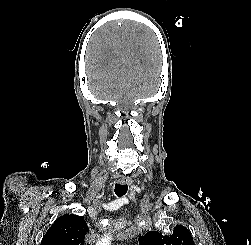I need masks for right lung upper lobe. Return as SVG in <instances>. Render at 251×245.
Segmentation results:
<instances>
[{
    "mask_svg": "<svg viewBox=\"0 0 251 245\" xmlns=\"http://www.w3.org/2000/svg\"><path fill=\"white\" fill-rule=\"evenodd\" d=\"M88 227L83 217L63 215L44 235L41 245H84Z\"/></svg>",
    "mask_w": 251,
    "mask_h": 245,
    "instance_id": "cb5924a9",
    "label": "right lung upper lobe"
}]
</instances>
